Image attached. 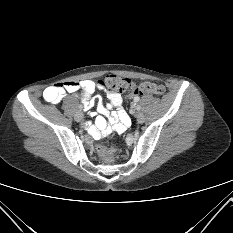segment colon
I'll use <instances>...</instances> for the list:
<instances>
[{
	"label": "colon",
	"mask_w": 233,
	"mask_h": 233,
	"mask_svg": "<svg viewBox=\"0 0 233 233\" xmlns=\"http://www.w3.org/2000/svg\"><path fill=\"white\" fill-rule=\"evenodd\" d=\"M102 80L104 84H107L110 92L123 93L128 96L145 94L162 95L165 91V88L160 84L153 82H142L137 84L117 75H108ZM96 151L104 161L109 163L114 160L115 150L113 148L98 145Z\"/></svg>",
	"instance_id": "1"
}]
</instances>
